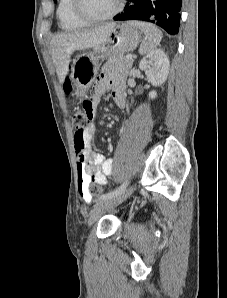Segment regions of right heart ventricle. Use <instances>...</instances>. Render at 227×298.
<instances>
[{
    "label": "right heart ventricle",
    "instance_id": "obj_1",
    "mask_svg": "<svg viewBox=\"0 0 227 298\" xmlns=\"http://www.w3.org/2000/svg\"><path fill=\"white\" fill-rule=\"evenodd\" d=\"M59 25L64 30H75L87 26L74 12V0H59L57 6Z\"/></svg>",
    "mask_w": 227,
    "mask_h": 298
}]
</instances>
